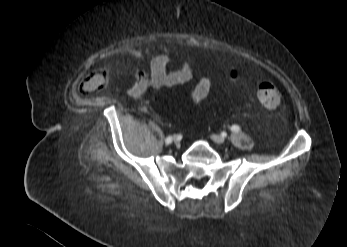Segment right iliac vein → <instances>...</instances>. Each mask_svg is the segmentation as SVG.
<instances>
[{
	"instance_id": "right-iliac-vein-1",
	"label": "right iliac vein",
	"mask_w": 347,
	"mask_h": 247,
	"mask_svg": "<svg viewBox=\"0 0 347 247\" xmlns=\"http://www.w3.org/2000/svg\"><path fill=\"white\" fill-rule=\"evenodd\" d=\"M173 142H174L175 144H178V143H179V139H178L177 136H174V137H173Z\"/></svg>"
}]
</instances>
